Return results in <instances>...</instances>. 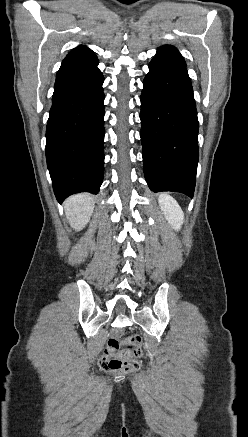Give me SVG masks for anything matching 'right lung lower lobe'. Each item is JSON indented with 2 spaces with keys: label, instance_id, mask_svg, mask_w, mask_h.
<instances>
[{
  "label": "right lung lower lobe",
  "instance_id": "obj_1",
  "mask_svg": "<svg viewBox=\"0 0 248 437\" xmlns=\"http://www.w3.org/2000/svg\"><path fill=\"white\" fill-rule=\"evenodd\" d=\"M94 56L67 58L57 72L46 129V159L58 202L97 194L104 174L103 74Z\"/></svg>",
  "mask_w": 248,
  "mask_h": 437
}]
</instances>
